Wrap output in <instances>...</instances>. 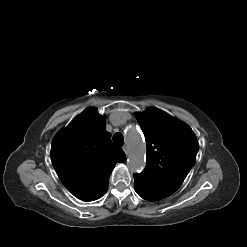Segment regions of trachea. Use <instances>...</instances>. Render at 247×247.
<instances>
[{
  "label": "trachea",
  "instance_id": "1",
  "mask_svg": "<svg viewBox=\"0 0 247 247\" xmlns=\"http://www.w3.org/2000/svg\"><path fill=\"white\" fill-rule=\"evenodd\" d=\"M113 142L117 145H122L124 142V137L121 133H115L113 136Z\"/></svg>",
  "mask_w": 247,
  "mask_h": 247
}]
</instances>
